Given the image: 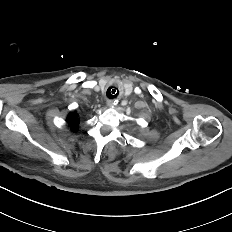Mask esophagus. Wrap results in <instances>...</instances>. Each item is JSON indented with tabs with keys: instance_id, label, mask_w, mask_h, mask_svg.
<instances>
[{
	"instance_id": "34e87169",
	"label": "esophagus",
	"mask_w": 232,
	"mask_h": 232,
	"mask_svg": "<svg viewBox=\"0 0 232 232\" xmlns=\"http://www.w3.org/2000/svg\"><path fill=\"white\" fill-rule=\"evenodd\" d=\"M114 104V102L112 101V100H109L108 102H107V105L108 106H112Z\"/></svg>"
}]
</instances>
